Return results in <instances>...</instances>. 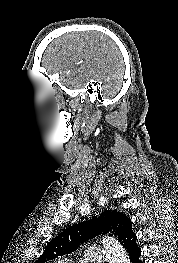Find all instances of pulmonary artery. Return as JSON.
Instances as JSON below:
<instances>
[{"instance_id": "e3ab8cb5", "label": "pulmonary artery", "mask_w": 178, "mask_h": 263, "mask_svg": "<svg viewBox=\"0 0 178 263\" xmlns=\"http://www.w3.org/2000/svg\"><path fill=\"white\" fill-rule=\"evenodd\" d=\"M84 263H98L104 259V252L97 247L88 248L84 253ZM59 263H67L66 261H59Z\"/></svg>"}]
</instances>
